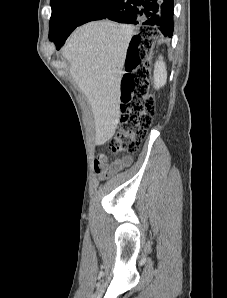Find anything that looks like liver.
<instances>
[{"instance_id":"1","label":"liver","mask_w":227,"mask_h":298,"mask_svg":"<svg viewBox=\"0 0 227 298\" xmlns=\"http://www.w3.org/2000/svg\"><path fill=\"white\" fill-rule=\"evenodd\" d=\"M133 33L131 25L90 22L76 29L62 49L72 78L91 106L96 145L110 140L119 122L122 69Z\"/></svg>"}]
</instances>
